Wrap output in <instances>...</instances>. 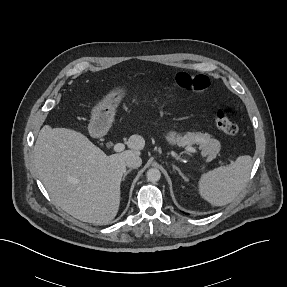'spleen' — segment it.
I'll return each instance as SVG.
<instances>
[{"label":"spleen","instance_id":"spleen-1","mask_svg":"<svg viewBox=\"0 0 287 287\" xmlns=\"http://www.w3.org/2000/svg\"><path fill=\"white\" fill-rule=\"evenodd\" d=\"M252 169L249 155L239 156L228 166H220L201 175L199 193L213 206L232 202L245 187Z\"/></svg>","mask_w":287,"mask_h":287}]
</instances>
